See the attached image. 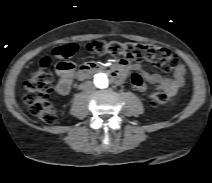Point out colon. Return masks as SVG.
I'll list each match as a JSON object with an SVG mask.
<instances>
[{"label": "colon", "mask_w": 212, "mask_h": 183, "mask_svg": "<svg viewBox=\"0 0 212 183\" xmlns=\"http://www.w3.org/2000/svg\"><path fill=\"white\" fill-rule=\"evenodd\" d=\"M78 50L75 43L54 48L53 56L62 60L57 66L63 71H73L74 65L68 59ZM85 50L93 55L112 54L129 60H148L165 72H173L179 65L177 57L170 50L151 44L95 40L86 44ZM50 65L51 59L43 58L39 68L31 72L24 82V99L30 112L47 123H53L57 118L56 109L49 100L52 92L48 71ZM150 99L152 104L162 105L168 102L169 97L165 92L156 91L150 94Z\"/></svg>", "instance_id": "colon-1"}]
</instances>
